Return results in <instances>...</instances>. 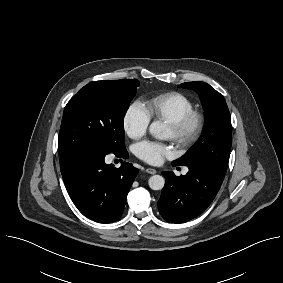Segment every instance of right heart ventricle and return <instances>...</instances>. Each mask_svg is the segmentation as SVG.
<instances>
[{
  "mask_svg": "<svg viewBox=\"0 0 283 283\" xmlns=\"http://www.w3.org/2000/svg\"><path fill=\"white\" fill-rule=\"evenodd\" d=\"M145 108L150 118L172 122L193 109L189 97L177 91L157 94L146 101Z\"/></svg>",
  "mask_w": 283,
  "mask_h": 283,
  "instance_id": "e07e8e85",
  "label": "right heart ventricle"
}]
</instances>
